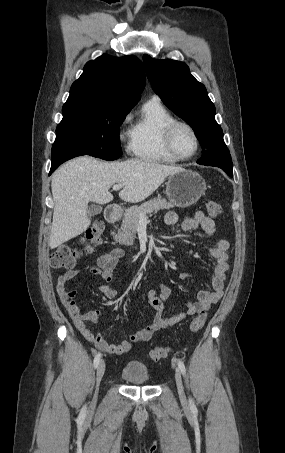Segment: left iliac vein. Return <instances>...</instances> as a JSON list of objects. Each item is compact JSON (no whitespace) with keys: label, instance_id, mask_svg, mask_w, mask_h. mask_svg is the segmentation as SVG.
<instances>
[{"label":"left iliac vein","instance_id":"left-iliac-vein-1","mask_svg":"<svg viewBox=\"0 0 285 453\" xmlns=\"http://www.w3.org/2000/svg\"><path fill=\"white\" fill-rule=\"evenodd\" d=\"M175 381H176V385H177L179 398L183 404H186L187 400H186V396H185V392H184L182 377H181V373L178 369H176V372H175Z\"/></svg>","mask_w":285,"mask_h":453}]
</instances>
